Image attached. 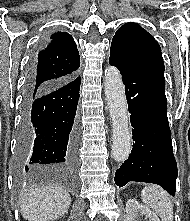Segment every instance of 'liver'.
Masks as SVG:
<instances>
[{"label": "liver", "instance_id": "6515ba94", "mask_svg": "<svg viewBox=\"0 0 190 221\" xmlns=\"http://www.w3.org/2000/svg\"><path fill=\"white\" fill-rule=\"evenodd\" d=\"M71 198L59 186L30 187L21 198V213L28 221H49L63 216Z\"/></svg>", "mask_w": 190, "mask_h": 221}]
</instances>
